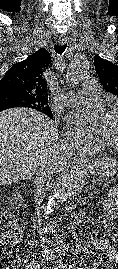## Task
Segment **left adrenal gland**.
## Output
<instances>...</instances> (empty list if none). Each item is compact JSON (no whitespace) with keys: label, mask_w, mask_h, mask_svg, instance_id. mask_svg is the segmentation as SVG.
Masks as SVG:
<instances>
[{"label":"left adrenal gland","mask_w":118,"mask_h":269,"mask_svg":"<svg viewBox=\"0 0 118 269\" xmlns=\"http://www.w3.org/2000/svg\"><path fill=\"white\" fill-rule=\"evenodd\" d=\"M94 183L95 181H93L92 185H90V188H94Z\"/></svg>","instance_id":"1"}]
</instances>
